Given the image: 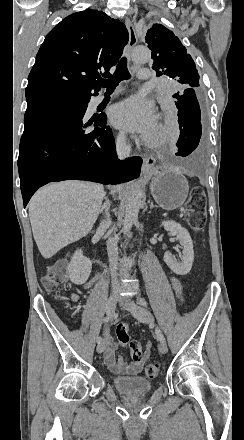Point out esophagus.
Wrapping results in <instances>:
<instances>
[{
    "mask_svg": "<svg viewBox=\"0 0 244 440\" xmlns=\"http://www.w3.org/2000/svg\"><path fill=\"white\" fill-rule=\"evenodd\" d=\"M125 25L127 27L128 33H129V42L125 48V55L128 59V62L130 63L131 52H132L133 48L135 47V45L137 44V35L135 32L134 25L129 18H126ZM155 163H156V159L153 156L144 157L142 169H141L143 175H146L149 172V170L152 167H154Z\"/></svg>",
    "mask_w": 244,
    "mask_h": 440,
    "instance_id": "obj_1",
    "label": "esophagus"
}]
</instances>
